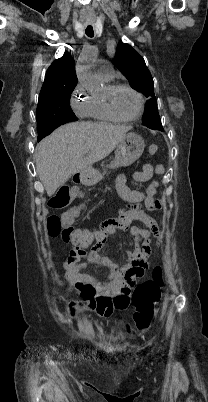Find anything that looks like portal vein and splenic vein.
Instances as JSON below:
<instances>
[{
	"mask_svg": "<svg viewBox=\"0 0 208 402\" xmlns=\"http://www.w3.org/2000/svg\"><path fill=\"white\" fill-rule=\"evenodd\" d=\"M84 162H87V160H90V156H89V154L88 153H85L84 154Z\"/></svg>",
	"mask_w": 208,
	"mask_h": 402,
	"instance_id": "18ae733b",
	"label": "portal vein and splenic vein"
}]
</instances>
